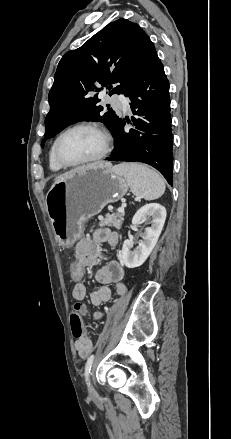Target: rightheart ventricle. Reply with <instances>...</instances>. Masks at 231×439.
Wrapping results in <instances>:
<instances>
[{"mask_svg":"<svg viewBox=\"0 0 231 439\" xmlns=\"http://www.w3.org/2000/svg\"><path fill=\"white\" fill-rule=\"evenodd\" d=\"M54 145H55V141L52 143L50 149H49V167L52 171H60L62 169H64L65 167L63 165H61L56 157H55V153H54Z\"/></svg>","mask_w":231,"mask_h":439,"instance_id":"right-heart-ventricle-1","label":"right heart ventricle"}]
</instances>
